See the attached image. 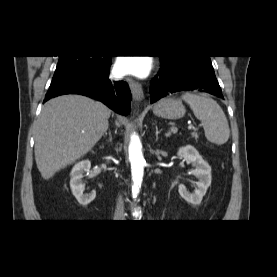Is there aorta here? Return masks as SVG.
<instances>
[{
  "label": "aorta",
  "instance_id": "762f6f07",
  "mask_svg": "<svg viewBox=\"0 0 277 277\" xmlns=\"http://www.w3.org/2000/svg\"><path fill=\"white\" fill-rule=\"evenodd\" d=\"M128 152L133 181L132 195L135 198L140 191L145 165V160L142 154V144L139 137L135 133L131 136ZM135 214L138 215V213Z\"/></svg>",
  "mask_w": 277,
  "mask_h": 277
}]
</instances>
